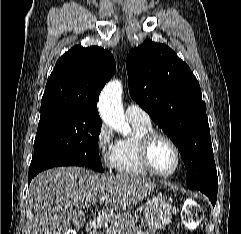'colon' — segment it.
<instances>
[{
    "instance_id": "obj_1",
    "label": "colon",
    "mask_w": 241,
    "mask_h": 234,
    "mask_svg": "<svg viewBox=\"0 0 241 234\" xmlns=\"http://www.w3.org/2000/svg\"><path fill=\"white\" fill-rule=\"evenodd\" d=\"M202 217L203 211L196 202L187 203L182 211V221L189 229L197 227Z\"/></svg>"
}]
</instances>
